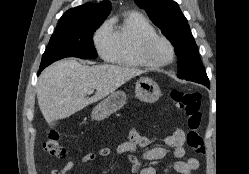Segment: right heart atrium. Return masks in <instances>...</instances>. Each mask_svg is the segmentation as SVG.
Listing matches in <instances>:
<instances>
[{"instance_id": "d8ad5b80", "label": "right heart atrium", "mask_w": 249, "mask_h": 174, "mask_svg": "<svg viewBox=\"0 0 249 174\" xmlns=\"http://www.w3.org/2000/svg\"><path fill=\"white\" fill-rule=\"evenodd\" d=\"M93 42L100 57L110 61L115 51V39L109 23H104L98 28Z\"/></svg>"}]
</instances>
